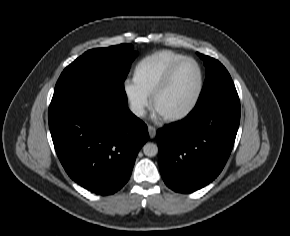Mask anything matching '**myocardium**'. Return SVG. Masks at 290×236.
Here are the masks:
<instances>
[{"instance_id": "obj_1", "label": "myocardium", "mask_w": 290, "mask_h": 236, "mask_svg": "<svg viewBox=\"0 0 290 236\" xmlns=\"http://www.w3.org/2000/svg\"><path fill=\"white\" fill-rule=\"evenodd\" d=\"M185 63H191L195 66L196 71H197V87L196 91L194 93L193 98L189 102V104L181 109L180 111L174 112V113H160L156 110V99L159 96L161 92H163L170 84L175 72L177 69L185 64ZM203 85H204V75H203V70L201 65L197 60L191 57H184L177 61L175 64H173L170 69L167 71V73L164 75L162 80L157 84V86L153 89L150 95V105L153 111L161 117L163 120L166 121H175L184 118L187 116L196 106L202 90H203Z\"/></svg>"}]
</instances>
